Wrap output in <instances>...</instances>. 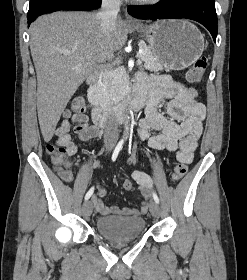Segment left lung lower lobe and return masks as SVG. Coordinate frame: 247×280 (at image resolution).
<instances>
[{
  "label": "left lung lower lobe",
  "mask_w": 247,
  "mask_h": 280,
  "mask_svg": "<svg viewBox=\"0 0 247 280\" xmlns=\"http://www.w3.org/2000/svg\"><path fill=\"white\" fill-rule=\"evenodd\" d=\"M128 12L139 19L195 20L210 31L214 41L217 37V14L214 0H161L150 7H129Z\"/></svg>",
  "instance_id": "0a47b994"
}]
</instances>
